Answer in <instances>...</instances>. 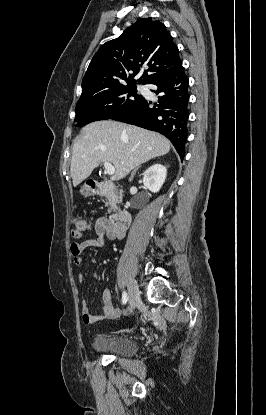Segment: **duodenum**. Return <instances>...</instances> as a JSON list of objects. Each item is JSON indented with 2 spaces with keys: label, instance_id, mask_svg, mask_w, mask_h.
<instances>
[{
  "label": "duodenum",
  "instance_id": "duodenum-1",
  "mask_svg": "<svg viewBox=\"0 0 266 415\" xmlns=\"http://www.w3.org/2000/svg\"><path fill=\"white\" fill-rule=\"evenodd\" d=\"M112 188L113 186L110 183L99 181L89 182V189L94 194H103ZM108 222L111 226L118 230H125L131 223V215L126 210H118L109 218Z\"/></svg>",
  "mask_w": 266,
  "mask_h": 415
}]
</instances>
